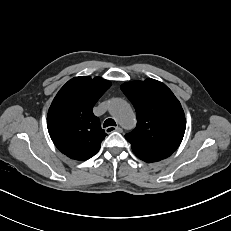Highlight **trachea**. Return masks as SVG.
I'll return each mask as SVG.
<instances>
[{
  "label": "trachea",
  "instance_id": "trachea-1",
  "mask_svg": "<svg viewBox=\"0 0 231 231\" xmlns=\"http://www.w3.org/2000/svg\"><path fill=\"white\" fill-rule=\"evenodd\" d=\"M116 126V122L113 119L105 120L103 127Z\"/></svg>",
  "mask_w": 231,
  "mask_h": 231
}]
</instances>
